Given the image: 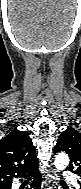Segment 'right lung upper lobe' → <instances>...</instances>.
Instances as JSON below:
<instances>
[{
	"mask_svg": "<svg viewBox=\"0 0 81 189\" xmlns=\"http://www.w3.org/2000/svg\"><path fill=\"white\" fill-rule=\"evenodd\" d=\"M33 143L24 131L14 130L0 140V186L12 183L38 166Z\"/></svg>",
	"mask_w": 81,
	"mask_h": 189,
	"instance_id": "1",
	"label": "right lung upper lobe"
}]
</instances>
